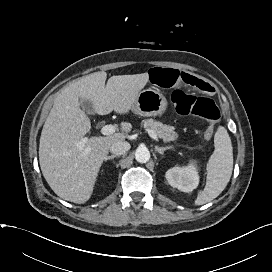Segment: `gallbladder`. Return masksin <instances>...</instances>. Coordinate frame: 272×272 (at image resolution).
<instances>
[{"label": "gallbladder", "instance_id": "bac80fb5", "mask_svg": "<svg viewBox=\"0 0 272 272\" xmlns=\"http://www.w3.org/2000/svg\"><path fill=\"white\" fill-rule=\"evenodd\" d=\"M80 106L86 113H89V114L94 113L93 104L90 101L81 99Z\"/></svg>", "mask_w": 272, "mask_h": 272}]
</instances>
